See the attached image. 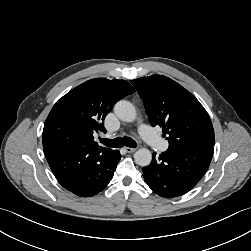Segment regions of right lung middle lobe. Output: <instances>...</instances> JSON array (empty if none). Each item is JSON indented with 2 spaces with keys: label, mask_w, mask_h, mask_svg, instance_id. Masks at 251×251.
Listing matches in <instances>:
<instances>
[{
  "label": "right lung middle lobe",
  "mask_w": 251,
  "mask_h": 251,
  "mask_svg": "<svg viewBox=\"0 0 251 251\" xmlns=\"http://www.w3.org/2000/svg\"><path fill=\"white\" fill-rule=\"evenodd\" d=\"M46 141L51 147H78L79 139L76 131L65 123H51L46 132Z\"/></svg>",
  "instance_id": "1"
}]
</instances>
